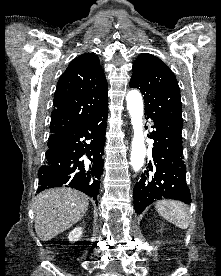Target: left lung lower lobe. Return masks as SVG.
I'll use <instances>...</instances> for the list:
<instances>
[{"instance_id": "0a47b994", "label": "left lung lower lobe", "mask_w": 221, "mask_h": 276, "mask_svg": "<svg viewBox=\"0 0 221 276\" xmlns=\"http://www.w3.org/2000/svg\"><path fill=\"white\" fill-rule=\"evenodd\" d=\"M152 128L154 130L148 135L154 140L152 156L134 187L137 214L162 197L191 202L190 190L186 185L181 133L156 123Z\"/></svg>"}]
</instances>
